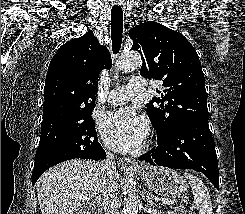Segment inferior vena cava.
Wrapping results in <instances>:
<instances>
[{
    "label": "inferior vena cava",
    "instance_id": "602c4592",
    "mask_svg": "<svg viewBox=\"0 0 245 214\" xmlns=\"http://www.w3.org/2000/svg\"><path fill=\"white\" fill-rule=\"evenodd\" d=\"M101 172L108 178L104 183L102 206L105 214H119V198L117 182L113 181L112 175L116 173V163L111 153L107 154V158L99 163Z\"/></svg>",
    "mask_w": 245,
    "mask_h": 214
}]
</instances>
